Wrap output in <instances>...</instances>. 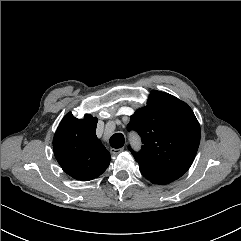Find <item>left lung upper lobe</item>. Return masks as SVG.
Masks as SVG:
<instances>
[{
  "label": "left lung upper lobe",
  "instance_id": "1",
  "mask_svg": "<svg viewBox=\"0 0 241 241\" xmlns=\"http://www.w3.org/2000/svg\"><path fill=\"white\" fill-rule=\"evenodd\" d=\"M142 138L139 153L132 151L142 175L165 185L190 168L200 143V125L192 109L178 98L153 91L147 106L138 109L127 126Z\"/></svg>",
  "mask_w": 241,
  "mask_h": 241
}]
</instances>
